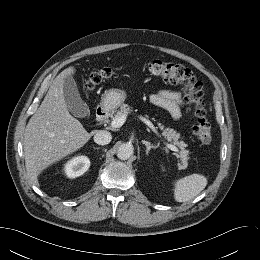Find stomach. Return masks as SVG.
Segmentation results:
<instances>
[{"label":"stomach","instance_id":"0dacf381","mask_svg":"<svg viewBox=\"0 0 260 260\" xmlns=\"http://www.w3.org/2000/svg\"><path fill=\"white\" fill-rule=\"evenodd\" d=\"M126 97L124 90L112 88L103 94L102 104L106 109H115L125 101Z\"/></svg>","mask_w":260,"mask_h":260}]
</instances>
